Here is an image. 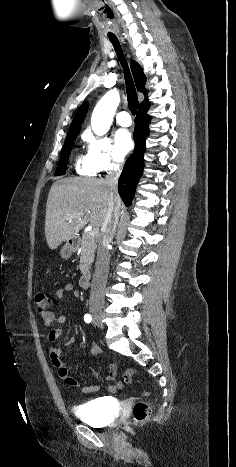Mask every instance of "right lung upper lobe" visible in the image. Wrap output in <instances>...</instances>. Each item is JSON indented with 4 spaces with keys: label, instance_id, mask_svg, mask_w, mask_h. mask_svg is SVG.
<instances>
[{
    "label": "right lung upper lobe",
    "instance_id": "cb5924a9",
    "mask_svg": "<svg viewBox=\"0 0 236 467\" xmlns=\"http://www.w3.org/2000/svg\"><path fill=\"white\" fill-rule=\"evenodd\" d=\"M130 65H131V70H132V73L135 79L136 87L140 92H144V95H145V100L140 104V107H142L149 103L146 93H145V88H144L145 83H146V76L144 75L141 66L137 62L132 61ZM87 108H88V103H85L79 108V110L74 116L73 122L71 124V127L67 135L79 133V130L81 127L80 124H82L85 118Z\"/></svg>",
    "mask_w": 236,
    "mask_h": 467
}]
</instances>
